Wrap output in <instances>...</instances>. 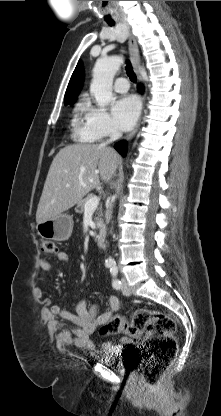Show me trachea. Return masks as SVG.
<instances>
[{
	"mask_svg": "<svg viewBox=\"0 0 221 416\" xmlns=\"http://www.w3.org/2000/svg\"><path fill=\"white\" fill-rule=\"evenodd\" d=\"M110 25H113V23H110ZM126 71H127V74L129 76L130 80L135 83L137 78H136V75H135V73L132 69V66H131V64L128 60H127V65H126Z\"/></svg>",
	"mask_w": 221,
	"mask_h": 416,
	"instance_id": "trachea-1",
	"label": "trachea"
}]
</instances>
